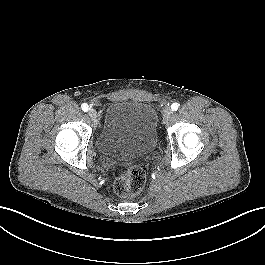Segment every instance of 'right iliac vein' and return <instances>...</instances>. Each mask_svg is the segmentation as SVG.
<instances>
[{
    "label": "right iliac vein",
    "mask_w": 265,
    "mask_h": 265,
    "mask_svg": "<svg viewBox=\"0 0 265 265\" xmlns=\"http://www.w3.org/2000/svg\"><path fill=\"white\" fill-rule=\"evenodd\" d=\"M88 115L90 116V118L93 120L94 123L97 122V112L94 109H90L88 111Z\"/></svg>",
    "instance_id": "1"
}]
</instances>
